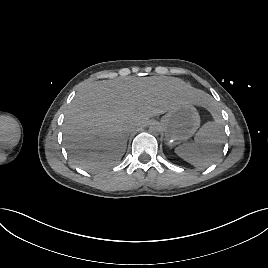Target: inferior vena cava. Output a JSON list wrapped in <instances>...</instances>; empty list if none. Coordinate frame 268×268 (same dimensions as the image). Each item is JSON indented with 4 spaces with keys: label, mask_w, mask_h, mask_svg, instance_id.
Segmentation results:
<instances>
[{
    "label": "inferior vena cava",
    "mask_w": 268,
    "mask_h": 268,
    "mask_svg": "<svg viewBox=\"0 0 268 268\" xmlns=\"http://www.w3.org/2000/svg\"><path fill=\"white\" fill-rule=\"evenodd\" d=\"M136 130V127H132V126H130L129 128H128V132H133V131H135Z\"/></svg>",
    "instance_id": "obj_1"
}]
</instances>
